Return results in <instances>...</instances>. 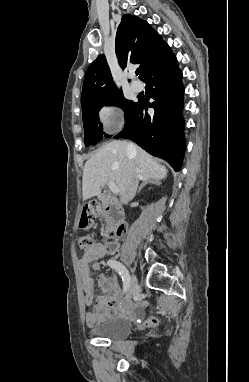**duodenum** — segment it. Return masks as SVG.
Instances as JSON below:
<instances>
[{
	"label": "duodenum",
	"instance_id": "410a0bca",
	"mask_svg": "<svg viewBox=\"0 0 249 382\" xmlns=\"http://www.w3.org/2000/svg\"><path fill=\"white\" fill-rule=\"evenodd\" d=\"M99 199L102 202L104 211L107 214L108 221L112 225H120L123 219V209L117 199L109 194L101 193Z\"/></svg>",
	"mask_w": 249,
	"mask_h": 382
}]
</instances>
